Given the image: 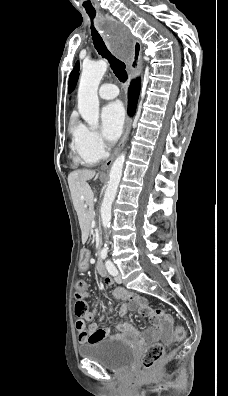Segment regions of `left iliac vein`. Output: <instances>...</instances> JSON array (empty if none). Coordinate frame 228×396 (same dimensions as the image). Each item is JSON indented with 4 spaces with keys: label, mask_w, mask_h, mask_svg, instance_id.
I'll return each instance as SVG.
<instances>
[{
    "label": "left iliac vein",
    "mask_w": 228,
    "mask_h": 396,
    "mask_svg": "<svg viewBox=\"0 0 228 396\" xmlns=\"http://www.w3.org/2000/svg\"><path fill=\"white\" fill-rule=\"evenodd\" d=\"M115 281L117 283H122V277H121V275L119 273L115 276Z\"/></svg>",
    "instance_id": "obj_1"
}]
</instances>
